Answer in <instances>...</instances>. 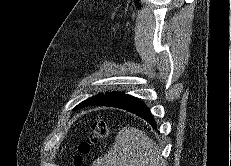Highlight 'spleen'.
Returning <instances> with one entry per match:
<instances>
[{"label":"spleen","instance_id":"3e777b00","mask_svg":"<svg viewBox=\"0 0 231 166\" xmlns=\"http://www.w3.org/2000/svg\"><path fill=\"white\" fill-rule=\"evenodd\" d=\"M93 166H162L156 143L139 129L122 128L109 151Z\"/></svg>","mask_w":231,"mask_h":166}]
</instances>
